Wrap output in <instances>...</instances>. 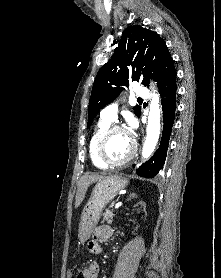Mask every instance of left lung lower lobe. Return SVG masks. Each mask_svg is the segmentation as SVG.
Masks as SVG:
<instances>
[{
	"label": "left lung lower lobe",
	"mask_w": 221,
	"mask_h": 278,
	"mask_svg": "<svg viewBox=\"0 0 221 278\" xmlns=\"http://www.w3.org/2000/svg\"><path fill=\"white\" fill-rule=\"evenodd\" d=\"M155 81L160 92L163 111V133L159 148L146 163L141 165L137 174L142 177L153 178L163 168L165 163L169 139L175 117L176 108V70L173 60L156 77ZM134 167V166H133Z\"/></svg>",
	"instance_id": "left-lung-lower-lobe-1"
}]
</instances>
